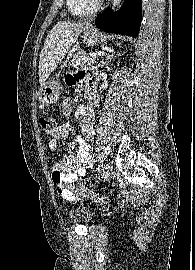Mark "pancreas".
Listing matches in <instances>:
<instances>
[{"instance_id": "pancreas-1", "label": "pancreas", "mask_w": 195, "mask_h": 270, "mask_svg": "<svg viewBox=\"0 0 195 270\" xmlns=\"http://www.w3.org/2000/svg\"><path fill=\"white\" fill-rule=\"evenodd\" d=\"M96 57H91L89 54H87L85 51H78L75 53L71 59L70 66L71 67H85L90 65L91 63L96 62Z\"/></svg>"}]
</instances>
